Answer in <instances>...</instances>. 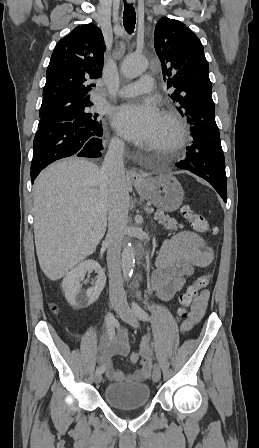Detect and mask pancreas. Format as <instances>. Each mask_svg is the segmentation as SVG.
I'll return each mask as SVG.
<instances>
[{"instance_id":"obj_1","label":"pancreas","mask_w":259,"mask_h":448,"mask_svg":"<svg viewBox=\"0 0 259 448\" xmlns=\"http://www.w3.org/2000/svg\"><path fill=\"white\" fill-rule=\"evenodd\" d=\"M156 217L160 219V224H162L165 230H178V228H184L183 224H179V226H177L178 222H176L175 218L165 216L164 212H161V210H157V212H155L154 218Z\"/></svg>"}]
</instances>
